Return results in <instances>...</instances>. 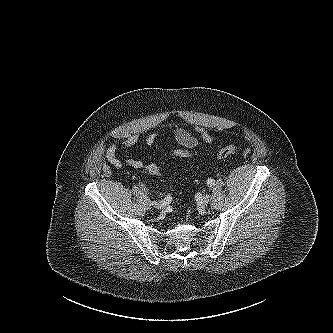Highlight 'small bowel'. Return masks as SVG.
<instances>
[{"label": "small bowel", "mask_w": 333, "mask_h": 333, "mask_svg": "<svg viewBox=\"0 0 333 333\" xmlns=\"http://www.w3.org/2000/svg\"><path fill=\"white\" fill-rule=\"evenodd\" d=\"M195 132L200 136V138L207 144L213 143V138L209 133L200 126H195ZM156 133L150 132L146 137V144L149 147H152L155 143ZM175 139L184 147L194 148L198 144V140L195 136H193L190 132L185 129H177L175 131ZM138 142V136L136 134H131L127 138L122 141L113 140L106 150V158L110 162V164L116 168L121 169L123 164L134 168V169H142L145 167L144 163L140 160L133 159L127 156L120 158V153L128 150L133 147Z\"/></svg>", "instance_id": "1"}]
</instances>
